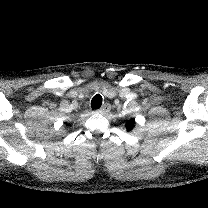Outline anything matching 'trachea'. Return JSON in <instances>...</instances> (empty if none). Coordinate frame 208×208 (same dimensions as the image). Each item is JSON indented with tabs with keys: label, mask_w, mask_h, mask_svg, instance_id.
<instances>
[{
	"label": "trachea",
	"mask_w": 208,
	"mask_h": 208,
	"mask_svg": "<svg viewBox=\"0 0 208 208\" xmlns=\"http://www.w3.org/2000/svg\"><path fill=\"white\" fill-rule=\"evenodd\" d=\"M102 105V96L100 94H96L91 101L92 110L99 109Z\"/></svg>",
	"instance_id": "3493384b"
}]
</instances>
